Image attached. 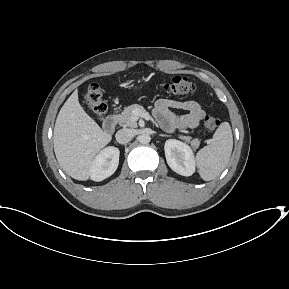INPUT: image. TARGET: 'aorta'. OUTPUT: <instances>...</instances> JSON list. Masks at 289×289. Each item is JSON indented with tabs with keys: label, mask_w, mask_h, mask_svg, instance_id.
Wrapping results in <instances>:
<instances>
[{
	"label": "aorta",
	"mask_w": 289,
	"mask_h": 289,
	"mask_svg": "<svg viewBox=\"0 0 289 289\" xmlns=\"http://www.w3.org/2000/svg\"><path fill=\"white\" fill-rule=\"evenodd\" d=\"M150 136L148 134H141L138 140L141 144H148L150 142Z\"/></svg>",
	"instance_id": "1"
}]
</instances>
